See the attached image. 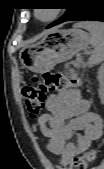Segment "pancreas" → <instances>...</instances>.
Instances as JSON below:
<instances>
[{"label":"pancreas","mask_w":104,"mask_h":169,"mask_svg":"<svg viewBox=\"0 0 104 169\" xmlns=\"http://www.w3.org/2000/svg\"><path fill=\"white\" fill-rule=\"evenodd\" d=\"M74 66H75L76 68H78V67H80V63L76 61V62L74 63Z\"/></svg>","instance_id":"obj_1"}]
</instances>
